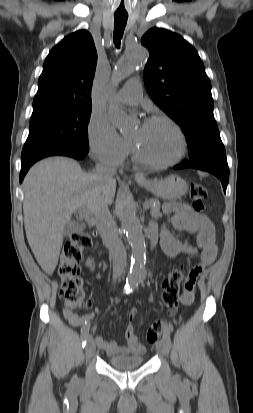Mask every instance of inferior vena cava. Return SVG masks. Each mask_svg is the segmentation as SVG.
Segmentation results:
<instances>
[{"instance_id": "obj_1", "label": "inferior vena cava", "mask_w": 253, "mask_h": 413, "mask_svg": "<svg viewBox=\"0 0 253 413\" xmlns=\"http://www.w3.org/2000/svg\"><path fill=\"white\" fill-rule=\"evenodd\" d=\"M95 174L100 180L110 181L115 176L116 169L101 161L96 163ZM95 217L96 228L113 259V281H116L126 267V250L116 231L115 221L108 206H103Z\"/></svg>"}]
</instances>
